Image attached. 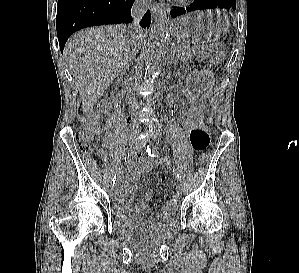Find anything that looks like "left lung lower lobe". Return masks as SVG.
Instances as JSON below:
<instances>
[{"instance_id": "obj_1", "label": "left lung lower lobe", "mask_w": 299, "mask_h": 273, "mask_svg": "<svg viewBox=\"0 0 299 273\" xmlns=\"http://www.w3.org/2000/svg\"><path fill=\"white\" fill-rule=\"evenodd\" d=\"M236 0H196L190 7L186 9H173L171 16L173 18L182 15L186 12H191L201 9H212V8H236Z\"/></svg>"}]
</instances>
